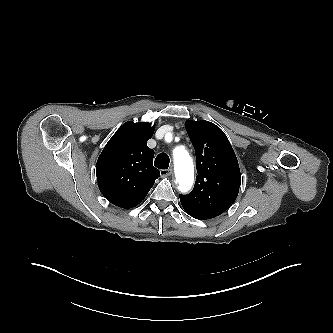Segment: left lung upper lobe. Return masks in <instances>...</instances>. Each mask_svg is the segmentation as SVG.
Listing matches in <instances>:
<instances>
[{"mask_svg": "<svg viewBox=\"0 0 333 333\" xmlns=\"http://www.w3.org/2000/svg\"><path fill=\"white\" fill-rule=\"evenodd\" d=\"M196 152V183L191 193L180 195L183 207L221 215L236 200L241 174L236 155L225 133L208 121H186Z\"/></svg>", "mask_w": 333, "mask_h": 333, "instance_id": "left-lung-upper-lobe-1", "label": "left lung upper lobe"}]
</instances>
